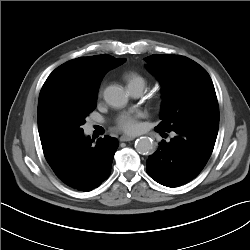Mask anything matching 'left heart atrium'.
I'll list each match as a JSON object with an SVG mask.
<instances>
[{
  "label": "left heart atrium",
  "instance_id": "left-heart-atrium-1",
  "mask_svg": "<svg viewBox=\"0 0 250 250\" xmlns=\"http://www.w3.org/2000/svg\"><path fill=\"white\" fill-rule=\"evenodd\" d=\"M141 115L138 113H125L117 119V126L120 130L128 134H134L139 131L140 123L138 121Z\"/></svg>",
  "mask_w": 250,
  "mask_h": 250
}]
</instances>
